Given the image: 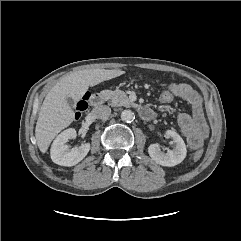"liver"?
Masks as SVG:
<instances>
[{
  "label": "liver",
  "instance_id": "liver-1",
  "mask_svg": "<svg viewBox=\"0 0 241 241\" xmlns=\"http://www.w3.org/2000/svg\"><path fill=\"white\" fill-rule=\"evenodd\" d=\"M122 70L89 69L62 77L46 95L36 123L35 137L45 153L56 135L74 120V112L66 98L79 100L89 87L124 74Z\"/></svg>",
  "mask_w": 241,
  "mask_h": 241
}]
</instances>
